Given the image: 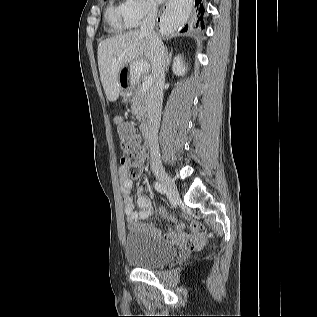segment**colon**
Here are the masks:
<instances>
[{
  "label": "colon",
  "instance_id": "1",
  "mask_svg": "<svg viewBox=\"0 0 317 317\" xmlns=\"http://www.w3.org/2000/svg\"><path fill=\"white\" fill-rule=\"evenodd\" d=\"M116 124L124 153L122 163L126 168L127 174L131 177H136L141 172V149L138 137L132 126L121 118L116 119ZM189 247L194 249L198 246L190 244Z\"/></svg>",
  "mask_w": 317,
  "mask_h": 317
}]
</instances>
